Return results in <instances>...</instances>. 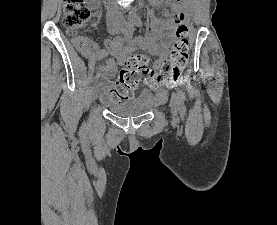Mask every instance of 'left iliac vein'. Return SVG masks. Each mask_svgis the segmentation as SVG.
<instances>
[{
  "label": "left iliac vein",
  "instance_id": "left-iliac-vein-1",
  "mask_svg": "<svg viewBox=\"0 0 277 225\" xmlns=\"http://www.w3.org/2000/svg\"><path fill=\"white\" fill-rule=\"evenodd\" d=\"M170 107H171L172 113L174 115H177L180 110V103L176 94H172L171 96Z\"/></svg>",
  "mask_w": 277,
  "mask_h": 225
}]
</instances>
